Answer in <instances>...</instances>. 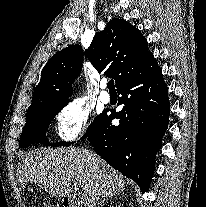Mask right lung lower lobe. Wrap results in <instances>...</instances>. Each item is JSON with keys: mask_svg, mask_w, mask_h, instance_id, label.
Wrapping results in <instances>:
<instances>
[{"mask_svg": "<svg viewBox=\"0 0 206 207\" xmlns=\"http://www.w3.org/2000/svg\"><path fill=\"white\" fill-rule=\"evenodd\" d=\"M117 91L123 109L109 116L105 112L87 137L98 155L146 192L170 113L168 89L154 56ZM114 118L119 119L118 126L111 124Z\"/></svg>", "mask_w": 206, "mask_h": 207, "instance_id": "right-lung-lower-lobe-1", "label": "right lung lower lobe"}]
</instances>
